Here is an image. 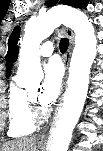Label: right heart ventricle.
<instances>
[{
  "label": "right heart ventricle",
  "instance_id": "obj_1",
  "mask_svg": "<svg viewBox=\"0 0 103 151\" xmlns=\"http://www.w3.org/2000/svg\"><path fill=\"white\" fill-rule=\"evenodd\" d=\"M9 129L10 137H23L32 134L36 128V122L32 117L31 103L28 93L11 83L8 95Z\"/></svg>",
  "mask_w": 103,
  "mask_h": 151
}]
</instances>
